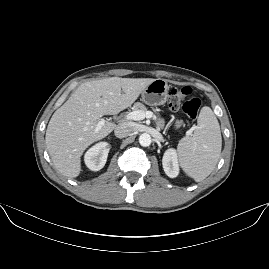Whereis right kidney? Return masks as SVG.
Instances as JSON below:
<instances>
[{"label":"right kidney","instance_id":"obj_1","mask_svg":"<svg viewBox=\"0 0 269 269\" xmlns=\"http://www.w3.org/2000/svg\"><path fill=\"white\" fill-rule=\"evenodd\" d=\"M109 149L110 145L107 143H99L90 149L85 155L87 166L93 171L102 169L106 164Z\"/></svg>","mask_w":269,"mask_h":269}]
</instances>
